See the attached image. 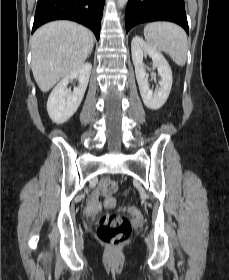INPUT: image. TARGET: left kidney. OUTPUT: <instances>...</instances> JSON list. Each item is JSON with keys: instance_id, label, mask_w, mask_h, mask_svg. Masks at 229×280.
<instances>
[{"instance_id": "5707ae66", "label": "left kidney", "mask_w": 229, "mask_h": 280, "mask_svg": "<svg viewBox=\"0 0 229 280\" xmlns=\"http://www.w3.org/2000/svg\"><path fill=\"white\" fill-rule=\"evenodd\" d=\"M131 54L140 94L145 106L152 110L161 108L166 102L172 87V71L167 60L139 36L132 39ZM144 55L152 58L153 65L157 67L158 74L161 77L160 87L156 89L155 93L149 89L148 75L143 63Z\"/></svg>"}]
</instances>
